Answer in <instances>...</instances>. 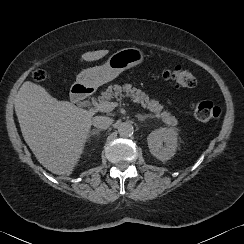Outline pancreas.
<instances>
[{"label":"pancreas","instance_id":"obj_1","mask_svg":"<svg viewBox=\"0 0 244 244\" xmlns=\"http://www.w3.org/2000/svg\"><path fill=\"white\" fill-rule=\"evenodd\" d=\"M122 97H130L135 103H139L142 107L149 109L153 112L154 116L161 119L165 124L169 126H176L178 120L167 111H162L163 106L156 100H150L149 97L141 90L132 87L130 84L120 85H110L104 92L99 96L98 101L100 103H107L113 98L118 101Z\"/></svg>","mask_w":244,"mask_h":244}]
</instances>
